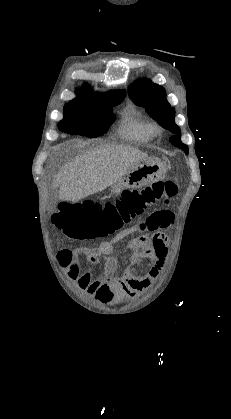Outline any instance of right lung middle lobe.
<instances>
[{
    "mask_svg": "<svg viewBox=\"0 0 231 419\" xmlns=\"http://www.w3.org/2000/svg\"><path fill=\"white\" fill-rule=\"evenodd\" d=\"M124 98L108 102H69L64 107V119L58 124L61 131L72 135L98 137L114 121L112 107Z\"/></svg>",
    "mask_w": 231,
    "mask_h": 419,
    "instance_id": "1",
    "label": "right lung middle lobe"
}]
</instances>
